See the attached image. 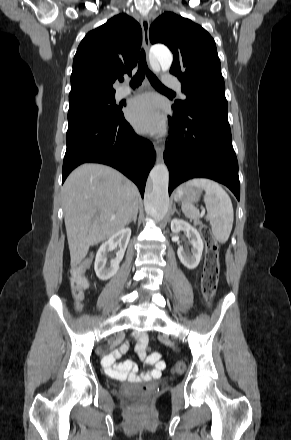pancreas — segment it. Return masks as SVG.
I'll return each instance as SVG.
<instances>
[{
    "label": "pancreas",
    "mask_w": 291,
    "mask_h": 440,
    "mask_svg": "<svg viewBox=\"0 0 291 440\" xmlns=\"http://www.w3.org/2000/svg\"><path fill=\"white\" fill-rule=\"evenodd\" d=\"M194 225L202 226V222L199 220L194 221Z\"/></svg>",
    "instance_id": "pancreas-1"
}]
</instances>
